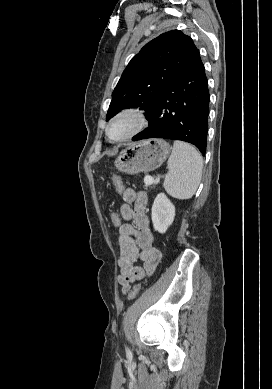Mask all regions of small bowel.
Segmentation results:
<instances>
[{"mask_svg":"<svg viewBox=\"0 0 272 389\" xmlns=\"http://www.w3.org/2000/svg\"><path fill=\"white\" fill-rule=\"evenodd\" d=\"M124 204L119 214L125 221L118 229L120 256L118 282L123 294L131 284L151 275L161 260V252L154 247V236L146 214L148 198L144 192L123 189ZM140 260L143 266H137Z\"/></svg>","mask_w":272,"mask_h":389,"instance_id":"c3829d8e","label":"small bowel"}]
</instances>
